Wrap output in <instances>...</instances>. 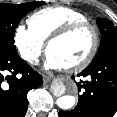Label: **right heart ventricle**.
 <instances>
[{
    "mask_svg": "<svg viewBox=\"0 0 117 117\" xmlns=\"http://www.w3.org/2000/svg\"><path fill=\"white\" fill-rule=\"evenodd\" d=\"M84 21H87V17L82 12L66 6L46 7L27 19L29 29L43 42L61 28Z\"/></svg>",
    "mask_w": 117,
    "mask_h": 117,
    "instance_id": "right-heart-ventricle-1",
    "label": "right heart ventricle"
}]
</instances>
